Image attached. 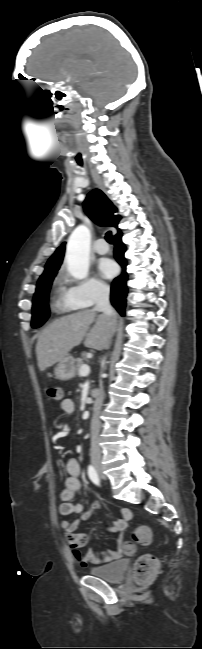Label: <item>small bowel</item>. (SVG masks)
Returning <instances> with one entry per match:
<instances>
[{"mask_svg":"<svg viewBox=\"0 0 202 649\" xmlns=\"http://www.w3.org/2000/svg\"><path fill=\"white\" fill-rule=\"evenodd\" d=\"M60 407L65 415H71L75 411V404L71 398H65L62 400ZM56 435L62 436L60 433H56ZM65 470L67 477L64 482V487L59 493V498L61 500L59 512L63 517L61 520V527L64 530V535L69 547L71 548L73 557L83 568L88 567L90 564L99 565L121 558L124 555L122 551L124 544L122 532L126 529L128 521L132 517L131 511L127 508L122 509L120 517L107 528L109 532L118 533L117 546L115 549L102 554H99L94 550H90L86 554H83L80 549L86 546L88 543V537L85 534L78 533L77 529L81 523L86 522L90 518L94 509L100 507V503L95 501L89 508H84L82 504L73 502L76 493L82 486L80 481L81 465L77 459L71 458L66 462ZM72 514L78 515V518L70 522L66 517Z\"/></svg>","mask_w":202,"mask_h":649,"instance_id":"c3829d8e","label":"small bowel"}]
</instances>
